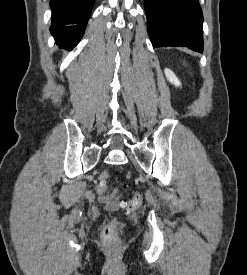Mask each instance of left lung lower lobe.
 <instances>
[{
    "label": "left lung lower lobe",
    "instance_id": "left-lung-lower-lobe-1",
    "mask_svg": "<svg viewBox=\"0 0 247 275\" xmlns=\"http://www.w3.org/2000/svg\"><path fill=\"white\" fill-rule=\"evenodd\" d=\"M154 48L186 46L203 52V15L198 0H145Z\"/></svg>",
    "mask_w": 247,
    "mask_h": 275
}]
</instances>
